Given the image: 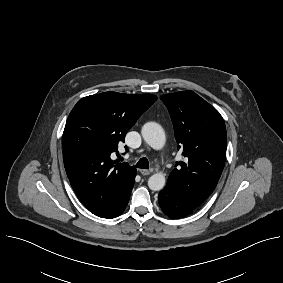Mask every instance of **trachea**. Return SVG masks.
Listing matches in <instances>:
<instances>
[{
	"mask_svg": "<svg viewBox=\"0 0 283 283\" xmlns=\"http://www.w3.org/2000/svg\"><path fill=\"white\" fill-rule=\"evenodd\" d=\"M137 168H142V169H148L149 168V162L147 158H141L135 165Z\"/></svg>",
	"mask_w": 283,
	"mask_h": 283,
	"instance_id": "obj_1",
	"label": "trachea"
}]
</instances>
